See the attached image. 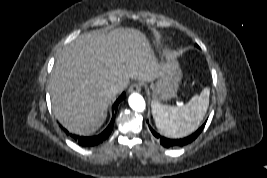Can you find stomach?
Masks as SVG:
<instances>
[{
	"mask_svg": "<svg viewBox=\"0 0 267 178\" xmlns=\"http://www.w3.org/2000/svg\"><path fill=\"white\" fill-rule=\"evenodd\" d=\"M182 72L179 64L174 60L168 69L150 84L154 100H168L174 97L179 87Z\"/></svg>",
	"mask_w": 267,
	"mask_h": 178,
	"instance_id": "stomach-1",
	"label": "stomach"
}]
</instances>
